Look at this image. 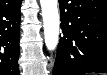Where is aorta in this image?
<instances>
[{
    "instance_id": "aorta-1",
    "label": "aorta",
    "mask_w": 107,
    "mask_h": 75,
    "mask_svg": "<svg viewBox=\"0 0 107 75\" xmlns=\"http://www.w3.org/2000/svg\"><path fill=\"white\" fill-rule=\"evenodd\" d=\"M44 24V40L49 51L56 49L59 42L60 17L58 0H40Z\"/></svg>"
}]
</instances>
